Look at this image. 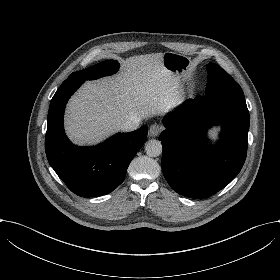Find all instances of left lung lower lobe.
Instances as JSON below:
<instances>
[{
	"mask_svg": "<svg viewBox=\"0 0 280 280\" xmlns=\"http://www.w3.org/2000/svg\"><path fill=\"white\" fill-rule=\"evenodd\" d=\"M162 171L169 185L190 198H206L229 184L247 154L249 112L238 84L185 102L164 118ZM222 126L215 146L206 145V132Z\"/></svg>",
	"mask_w": 280,
	"mask_h": 280,
	"instance_id": "0a47b994",
	"label": "left lung lower lobe"
}]
</instances>
